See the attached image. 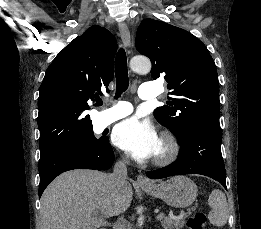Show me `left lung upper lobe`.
<instances>
[{"mask_svg":"<svg viewBox=\"0 0 261 229\" xmlns=\"http://www.w3.org/2000/svg\"><path fill=\"white\" fill-rule=\"evenodd\" d=\"M137 50L152 62V78L164 76L170 106L154 111L157 121L179 142L197 127L220 131L219 82L206 46L186 30L154 19L138 27Z\"/></svg>","mask_w":261,"mask_h":229,"instance_id":"5c2ea615","label":"left lung upper lobe"}]
</instances>
